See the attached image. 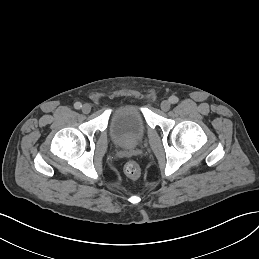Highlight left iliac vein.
Here are the masks:
<instances>
[{
    "label": "left iliac vein",
    "mask_w": 259,
    "mask_h": 259,
    "mask_svg": "<svg viewBox=\"0 0 259 259\" xmlns=\"http://www.w3.org/2000/svg\"><path fill=\"white\" fill-rule=\"evenodd\" d=\"M160 107L163 111H168L171 107V104L168 100H164V101L161 102Z\"/></svg>",
    "instance_id": "obj_1"
}]
</instances>
